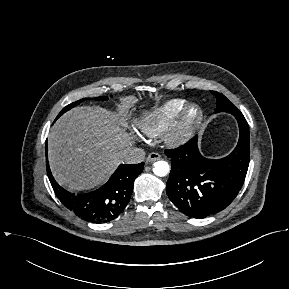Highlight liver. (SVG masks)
I'll return each instance as SVG.
<instances>
[{"label":"liver","instance_id":"liver-1","mask_svg":"<svg viewBox=\"0 0 289 289\" xmlns=\"http://www.w3.org/2000/svg\"><path fill=\"white\" fill-rule=\"evenodd\" d=\"M132 146V137L111 112L99 107L74 108L50 131L49 163L61 185L71 190L90 189L124 162Z\"/></svg>","mask_w":289,"mask_h":289}]
</instances>
